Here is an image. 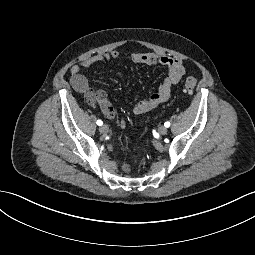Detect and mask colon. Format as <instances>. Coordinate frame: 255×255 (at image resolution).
<instances>
[{"label": "colon", "instance_id": "colon-1", "mask_svg": "<svg viewBox=\"0 0 255 255\" xmlns=\"http://www.w3.org/2000/svg\"><path fill=\"white\" fill-rule=\"evenodd\" d=\"M197 85V79L193 76L188 77L184 82L185 92L191 93Z\"/></svg>", "mask_w": 255, "mask_h": 255}]
</instances>
